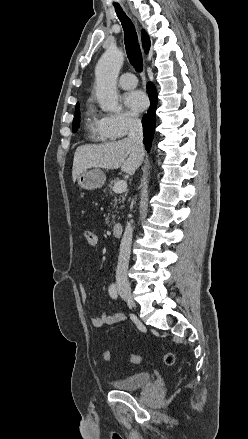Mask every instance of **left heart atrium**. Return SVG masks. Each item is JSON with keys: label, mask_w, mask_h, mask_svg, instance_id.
<instances>
[{"label": "left heart atrium", "mask_w": 248, "mask_h": 439, "mask_svg": "<svg viewBox=\"0 0 248 439\" xmlns=\"http://www.w3.org/2000/svg\"><path fill=\"white\" fill-rule=\"evenodd\" d=\"M125 105L135 113L142 112L148 105V99L141 90H134L124 95Z\"/></svg>", "instance_id": "obj_1"}]
</instances>
